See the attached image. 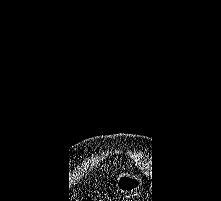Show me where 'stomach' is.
<instances>
[{
	"instance_id": "obj_1",
	"label": "stomach",
	"mask_w": 221,
	"mask_h": 201,
	"mask_svg": "<svg viewBox=\"0 0 221 201\" xmlns=\"http://www.w3.org/2000/svg\"><path fill=\"white\" fill-rule=\"evenodd\" d=\"M143 181L138 175H134L131 172H120L115 179V187L118 191L123 193H130L137 190Z\"/></svg>"
}]
</instances>
